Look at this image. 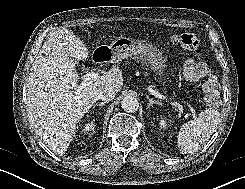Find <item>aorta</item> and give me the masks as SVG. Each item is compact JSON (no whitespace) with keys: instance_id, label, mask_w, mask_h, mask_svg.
I'll return each mask as SVG.
<instances>
[{"instance_id":"1","label":"aorta","mask_w":245,"mask_h":189,"mask_svg":"<svg viewBox=\"0 0 245 189\" xmlns=\"http://www.w3.org/2000/svg\"><path fill=\"white\" fill-rule=\"evenodd\" d=\"M121 107L124 111L135 112L139 107V102L133 96H125L121 101Z\"/></svg>"}]
</instances>
